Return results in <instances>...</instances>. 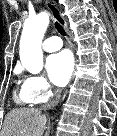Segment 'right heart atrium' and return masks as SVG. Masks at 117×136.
Instances as JSON below:
<instances>
[{"mask_svg":"<svg viewBox=\"0 0 117 136\" xmlns=\"http://www.w3.org/2000/svg\"><path fill=\"white\" fill-rule=\"evenodd\" d=\"M24 90L33 104H41L53 96L52 88L43 76H28L23 84Z\"/></svg>","mask_w":117,"mask_h":136,"instance_id":"obj_1","label":"right heart atrium"}]
</instances>
